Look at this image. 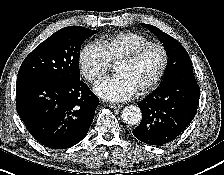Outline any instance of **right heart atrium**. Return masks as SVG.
<instances>
[{
  "label": "right heart atrium",
  "mask_w": 224,
  "mask_h": 175,
  "mask_svg": "<svg viewBox=\"0 0 224 175\" xmlns=\"http://www.w3.org/2000/svg\"><path fill=\"white\" fill-rule=\"evenodd\" d=\"M79 64L85 78L92 84L98 83L108 72L110 62L100 46L89 43L80 52Z\"/></svg>",
  "instance_id": "1"
}]
</instances>
